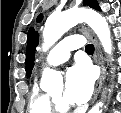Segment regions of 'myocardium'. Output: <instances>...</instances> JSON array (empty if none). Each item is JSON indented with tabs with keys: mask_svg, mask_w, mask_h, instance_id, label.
Segmentation results:
<instances>
[{
	"mask_svg": "<svg viewBox=\"0 0 121 113\" xmlns=\"http://www.w3.org/2000/svg\"><path fill=\"white\" fill-rule=\"evenodd\" d=\"M49 103L52 109L57 113H63L69 110L70 106L68 104L60 103L51 94L48 95Z\"/></svg>",
	"mask_w": 121,
	"mask_h": 113,
	"instance_id": "f54148a6",
	"label": "myocardium"
}]
</instances>
